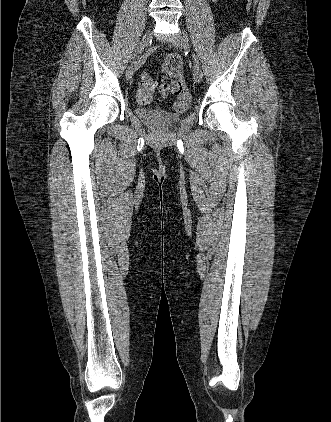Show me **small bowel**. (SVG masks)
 I'll return each mask as SVG.
<instances>
[{"label":"small bowel","mask_w":331,"mask_h":422,"mask_svg":"<svg viewBox=\"0 0 331 422\" xmlns=\"http://www.w3.org/2000/svg\"><path fill=\"white\" fill-rule=\"evenodd\" d=\"M216 2L217 0H213ZM153 49L149 50L148 54L152 53ZM153 82L144 77V79L141 81L137 95L140 102L147 103L152 99L153 94Z\"/></svg>","instance_id":"obj_1"}]
</instances>
